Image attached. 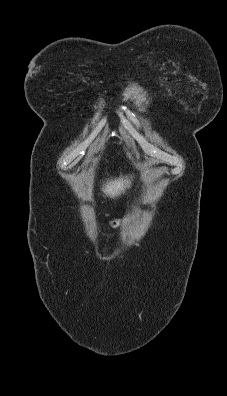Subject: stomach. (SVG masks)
<instances>
[{
    "mask_svg": "<svg viewBox=\"0 0 227 396\" xmlns=\"http://www.w3.org/2000/svg\"><path fill=\"white\" fill-rule=\"evenodd\" d=\"M109 225H110L112 228H116V227L119 225V221L116 220V219L111 220V221L109 222Z\"/></svg>",
    "mask_w": 227,
    "mask_h": 396,
    "instance_id": "obj_1",
    "label": "stomach"
}]
</instances>
